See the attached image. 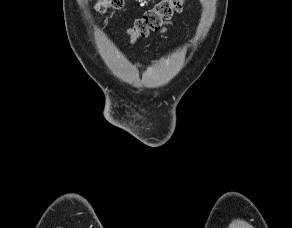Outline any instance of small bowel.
Listing matches in <instances>:
<instances>
[{
	"label": "small bowel",
	"instance_id": "c3829d8e",
	"mask_svg": "<svg viewBox=\"0 0 292 228\" xmlns=\"http://www.w3.org/2000/svg\"><path fill=\"white\" fill-rule=\"evenodd\" d=\"M165 32H166V28L162 27L161 30H160V33H165Z\"/></svg>",
	"mask_w": 292,
	"mask_h": 228
}]
</instances>
